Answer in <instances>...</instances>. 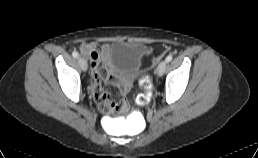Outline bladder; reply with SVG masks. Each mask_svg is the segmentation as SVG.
Returning a JSON list of instances; mask_svg holds the SVG:
<instances>
[{
  "mask_svg": "<svg viewBox=\"0 0 258 158\" xmlns=\"http://www.w3.org/2000/svg\"><path fill=\"white\" fill-rule=\"evenodd\" d=\"M146 54L147 46L141 42L117 41L110 46L108 59L121 69L125 80L132 82L140 75Z\"/></svg>",
  "mask_w": 258,
  "mask_h": 158,
  "instance_id": "1",
  "label": "bladder"
}]
</instances>
